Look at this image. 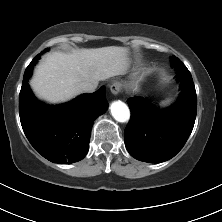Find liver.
Instances as JSON below:
<instances>
[{"label":"liver","mask_w":222,"mask_h":222,"mask_svg":"<svg viewBox=\"0 0 222 222\" xmlns=\"http://www.w3.org/2000/svg\"><path fill=\"white\" fill-rule=\"evenodd\" d=\"M128 64V49L108 46L52 52L36 67L30 85L49 103L70 100L82 91V82H99L120 75Z\"/></svg>","instance_id":"liver-1"}]
</instances>
